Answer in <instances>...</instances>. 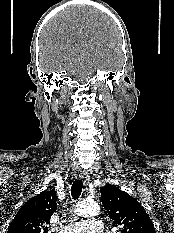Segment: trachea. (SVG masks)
<instances>
[{
  "label": "trachea",
  "instance_id": "trachea-1",
  "mask_svg": "<svg viewBox=\"0 0 174 233\" xmlns=\"http://www.w3.org/2000/svg\"><path fill=\"white\" fill-rule=\"evenodd\" d=\"M83 188V181L82 179H76L71 187V195L74 200L78 199L81 195Z\"/></svg>",
  "mask_w": 174,
  "mask_h": 233
}]
</instances>
